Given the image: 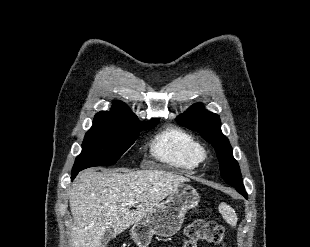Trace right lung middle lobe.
I'll return each mask as SVG.
<instances>
[{
  "label": "right lung middle lobe",
  "instance_id": "right-lung-middle-lobe-1",
  "mask_svg": "<svg viewBox=\"0 0 310 247\" xmlns=\"http://www.w3.org/2000/svg\"><path fill=\"white\" fill-rule=\"evenodd\" d=\"M128 122L111 118H97L86 133L82 152L77 156L72 171H81L93 166L113 165L130 148L139 135V129H151L158 124Z\"/></svg>",
  "mask_w": 310,
  "mask_h": 247
}]
</instances>
